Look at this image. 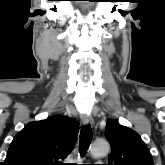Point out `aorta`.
I'll use <instances>...</instances> for the list:
<instances>
[{"instance_id": "obj_1", "label": "aorta", "mask_w": 165, "mask_h": 165, "mask_svg": "<svg viewBox=\"0 0 165 165\" xmlns=\"http://www.w3.org/2000/svg\"><path fill=\"white\" fill-rule=\"evenodd\" d=\"M110 150L107 141H96L90 147V152L95 157H101L106 155Z\"/></svg>"}]
</instances>
